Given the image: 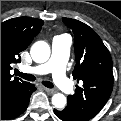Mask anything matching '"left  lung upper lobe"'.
Instances as JSON below:
<instances>
[{"instance_id":"obj_1","label":"left lung upper lobe","mask_w":121,"mask_h":121,"mask_svg":"<svg viewBox=\"0 0 121 121\" xmlns=\"http://www.w3.org/2000/svg\"><path fill=\"white\" fill-rule=\"evenodd\" d=\"M75 34L76 66L74 95L67 97V107L86 118H93L106 104L113 89L112 59L98 34L88 25L71 18H63Z\"/></svg>"}]
</instances>
